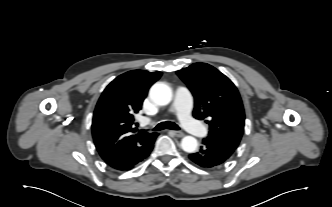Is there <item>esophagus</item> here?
Instances as JSON below:
<instances>
[{
  "mask_svg": "<svg viewBox=\"0 0 332 207\" xmlns=\"http://www.w3.org/2000/svg\"><path fill=\"white\" fill-rule=\"evenodd\" d=\"M173 133L174 136L181 138L184 136V133L181 131H171Z\"/></svg>",
  "mask_w": 332,
  "mask_h": 207,
  "instance_id": "1",
  "label": "esophagus"
}]
</instances>
